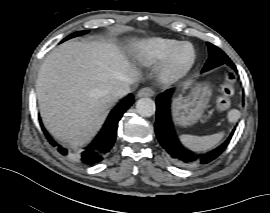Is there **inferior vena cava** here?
Returning a JSON list of instances; mask_svg holds the SVG:
<instances>
[{"label":"inferior vena cava","instance_id":"inferior-vena-cava-1","mask_svg":"<svg viewBox=\"0 0 270 213\" xmlns=\"http://www.w3.org/2000/svg\"><path fill=\"white\" fill-rule=\"evenodd\" d=\"M133 82L134 80L129 79L126 81V83L115 86L111 90V95L116 99L126 95L130 92V84H132Z\"/></svg>","mask_w":270,"mask_h":213}]
</instances>
